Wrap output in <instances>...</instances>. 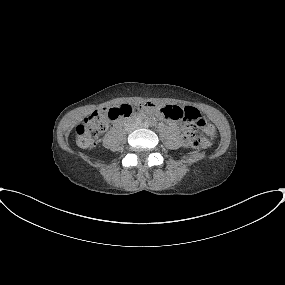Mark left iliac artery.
Masks as SVG:
<instances>
[{"instance_id":"left-iliac-artery-1","label":"left iliac artery","mask_w":285,"mask_h":285,"mask_svg":"<svg viewBox=\"0 0 285 285\" xmlns=\"http://www.w3.org/2000/svg\"><path fill=\"white\" fill-rule=\"evenodd\" d=\"M145 126H147V127H148V126H149V122H145Z\"/></svg>"}]
</instances>
